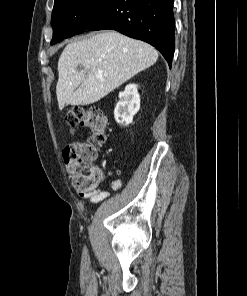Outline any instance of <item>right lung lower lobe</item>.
Masks as SVG:
<instances>
[{"label": "right lung lower lobe", "instance_id": "right-lung-lower-lobe-1", "mask_svg": "<svg viewBox=\"0 0 247 296\" xmlns=\"http://www.w3.org/2000/svg\"><path fill=\"white\" fill-rule=\"evenodd\" d=\"M174 0H105L86 29H113L157 48L171 67L175 49Z\"/></svg>", "mask_w": 247, "mask_h": 296}]
</instances>
